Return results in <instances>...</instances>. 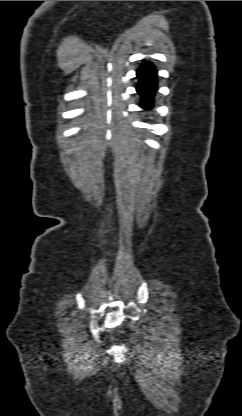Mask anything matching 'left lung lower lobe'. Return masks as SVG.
Segmentation results:
<instances>
[{
    "label": "left lung lower lobe",
    "instance_id": "left-lung-lower-lobe-1",
    "mask_svg": "<svg viewBox=\"0 0 242 416\" xmlns=\"http://www.w3.org/2000/svg\"><path fill=\"white\" fill-rule=\"evenodd\" d=\"M139 84L136 88L141 96L140 107L145 110L153 108L154 96L157 91V70L151 62H143L137 71Z\"/></svg>",
    "mask_w": 242,
    "mask_h": 416
}]
</instances>
